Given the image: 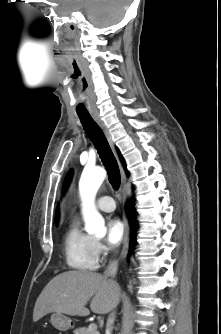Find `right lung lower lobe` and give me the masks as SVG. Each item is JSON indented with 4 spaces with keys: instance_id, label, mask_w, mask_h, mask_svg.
<instances>
[{
    "instance_id": "98d812e1",
    "label": "right lung lower lobe",
    "mask_w": 221,
    "mask_h": 334,
    "mask_svg": "<svg viewBox=\"0 0 221 334\" xmlns=\"http://www.w3.org/2000/svg\"><path fill=\"white\" fill-rule=\"evenodd\" d=\"M128 212H129V217H130V221H131V227L134 229L135 228V223H134V217H133V215H132V212H131V210H130V206L128 205ZM133 232H134V230L132 231V235H133ZM134 237H132V239H133ZM132 247H133V242L131 243V245H130V252H131V250H132Z\"/></svg>"
}]
</instances>
